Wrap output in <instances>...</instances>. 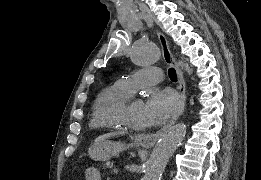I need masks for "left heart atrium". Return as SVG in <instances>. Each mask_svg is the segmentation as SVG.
<instances>
[{
	"mask_svg": "<svg viewBox=\"0 0 261 180\" xmlns=\"http://www.w3.org/2000/svg\"><path fill=\"white\" fill-rule=\"evenodd\" d=\"M181 105L179 95L170 88L152 90L144 102V111L152 123L174 114Z\"/></svg>",
	"mask_w": 261,
	"mask_h": 180,
	"instance_id": "39dd6f15",
	"label": "left heart atrium"
}]
</instances>
